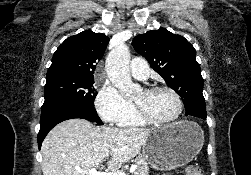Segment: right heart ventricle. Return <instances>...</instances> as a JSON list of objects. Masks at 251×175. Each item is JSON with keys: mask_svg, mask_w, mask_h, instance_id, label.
Instances as JSON below:
<instances>
[{"mask_svg": "<svg viewBox=\"0 0 251 175\" xmlns=\"http://www.w3.org/2000/svg\"><path fill=\"white\" fill-rule=\"evenodd\" d=\"M142 123H143V120L139 117V115L135 114L132 117H130L127 121L123 122L121 126L133 127V126L141 125Z\"/></svg>", "mask_w": 251, "mask_h": 175, "instance_id": "obj_1", "label": "right heart ventricle"}]
</instances>
